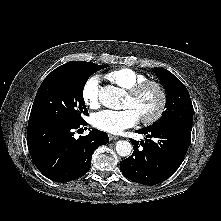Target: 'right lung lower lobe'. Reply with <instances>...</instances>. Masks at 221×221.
<instances>
[{"label":"right lung lower lobe","instance_id":"right-lung-lower-lobe-1","mask_svg":"<svg viewBox=\"0 0 221 221\" xmlns=\"http://www.w3.org/2000/svg\"><path fill=\"white\" fill-rule=\"evenodd\" d=\"M85 125L84 121L28 128L29 152L43 175L56 182H67L89 171L93 152L98 146L107 144L109 137L105 132L93 129L88 135L75 139L74 130Z\"/></svg>","mask_w":221,"mask_h":221}]
</instances>
